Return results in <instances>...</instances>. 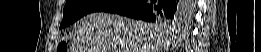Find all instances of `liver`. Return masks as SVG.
Wrapping results in <instances>:
<instances>
[{"instance_id": "liver-1", "label": "liver", "mask_w": 261, "mask_h": 52, "mask_svg": "<svg viewBox=\"0 0 261 52\" xmlns=\"http://www.w3.org/2000/svg\"><path fill=\"white\" fill-rule=\"evenodd\" d=\"M168 30L160 22L93 13L80 20L72 52H168Z\"/></svg>"}]
</instances>
